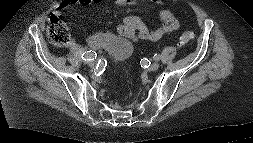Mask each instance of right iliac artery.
Returning <instances> with one entry per match:
<instances>
[{"label":"right iliac artery","mask_w":253,"mask_h":143,"mask_svg":"<svg viewBox=\"0 0 253 143\" xmlns=\"http://www.w3.org/2000/svg\"><path fill=\"white\" fill-rule=\"evenodd\" d=\"M81 57H82V60H84V61H91V60L96 59L97 53L95 51H91V50L85 51Z\"/></svg>","instance_id":"1"}]
</instances>
